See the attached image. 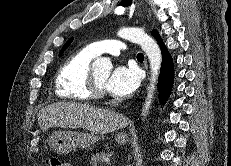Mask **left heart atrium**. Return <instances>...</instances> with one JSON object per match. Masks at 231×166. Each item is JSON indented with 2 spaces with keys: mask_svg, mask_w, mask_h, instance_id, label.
<instances>
[{
  "mask_svg": "<svg viewBox=\"0 0 231 166\" xmlns=\"http://www.w3.org/2000/svg\"><path fill=\"white\" fill-rule=\"evenodd\" d=\"M140 84V74L133 66H117L108 79L105 87L109 93L116 97L131 96Z\"/></svg>",
  "mask_w": 231,
  "mask_h": 166,
  "instance_id": "left-heart-atrium-1",
  "label": "left heart atrium"
}]
</instances>
